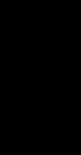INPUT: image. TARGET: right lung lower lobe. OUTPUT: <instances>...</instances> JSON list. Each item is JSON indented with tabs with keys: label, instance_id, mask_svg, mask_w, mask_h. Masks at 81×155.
<instances>
[{
	"label": "right lung lower lobe",
	"instance_id": "obj_1",
	"mask_svg": "<svg viewBox=\"0 0 81 155\" xmlns=\"http://www.w3.org/2000/svg\"><path fill=\"white\" fill-rule=\"evenodd\" d=\"M21 118V117H20ZM20 118H17L15 120H13L12 122H10L8 125L11 126V125H15L17 124L19 121H20Z\"/></svg>",
	"mask_w": 81,
	"mask_h": 155
}]
</instances>
